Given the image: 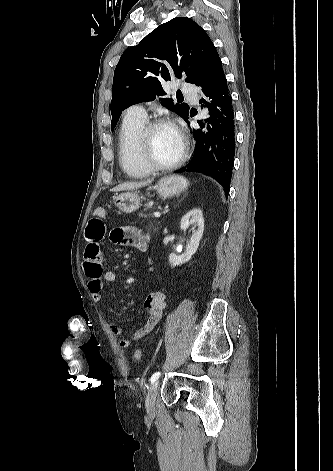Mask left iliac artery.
I'll list each match as a JSON object with an SVG mask.
<instances>
[{"label": "left iliac artery", "mask_w": 333, "mask_h": 471, "mask_svg": "<svg viewBox=\"0 0 333 471\" xmlns=\"http://www.w3.org/2000/svg\"><path fill=\"white\" fill-rule=\"evenodd\" d=\"M160 375H161L160 372L154 373L152 377L150 378L151 383L155 382L160 377Z\"/></svg>", "instance_id": "left-iliac-artery-1"}]
</instances>
